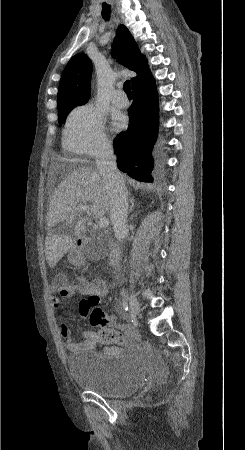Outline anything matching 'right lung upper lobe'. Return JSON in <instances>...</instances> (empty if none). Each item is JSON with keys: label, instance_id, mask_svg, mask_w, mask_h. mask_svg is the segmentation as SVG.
<instances>
[{"label": "right lung upper lobe", "instance_id": "cb5924a9", "mask_svg": "<svg viewBox=\"0 0 245 450\" xmlns=\"http://www.w3.org/2000/svg\"><path fill=\"white\" fill-rule=\"evenodd\" d=\"M113 49L119 63L137 73L134 84L150 70L129 30L121 25L116 31ZM92 63L85 54L73 56L66 65L58 90V106L66 103L85 104L90 98Z\"/></svg>", "mask_w": 245, "mask_h": 450}]
</instances>
